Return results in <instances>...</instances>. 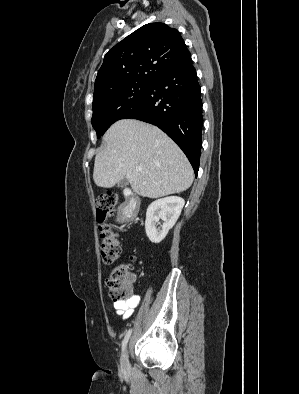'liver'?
I'll return each mask as SVG.
<instances>
[{
	"mask_svg": "<svg viewBox=\"0 0 299 394\" xmlns=\"http://www.w3.org/2000/svg\"><path fill=\"white\" fill-rule=\"evenodd\" d=\"M103 140L107 146L96 155L93 172L99 187L111 188L127 178L135 193L154 199L185 191L193 182L194 172L185 154L153 125L121 119Z\"/></svg>",
	"mask_w": 299,
	"mask_h": 394,
	"instance_id": "6515ba94",
	"label": "liver"
}]
</instances>
